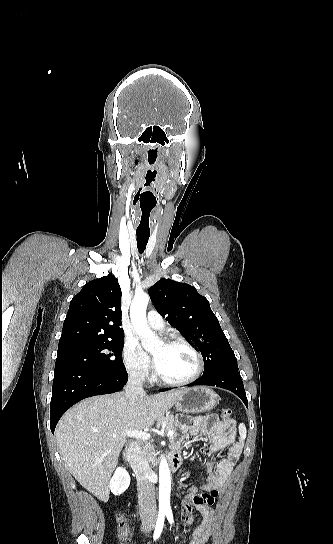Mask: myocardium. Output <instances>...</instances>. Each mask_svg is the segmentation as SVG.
Masks as SVG:
<instances>
[{"mask_svg": "<svg viewBox=\"0 0 333 544\" xmlns=\"http://www.w3.org/2000/svg\"><path fill=\"white\" fill-rule=\"evenodd\" d=\"M165 344L169 345V346H175V345H180V346H183L185 348H187L189 351H191L195 358H196V362H197V366H196V370L194 371V373L186 378V379H183V380H168V379H165L163 378L159 372L157 371V368L156 366L154 365V373H153V377L154 379L162 384V385H165V386H170V387H179V386H185V385H189L193 382H195L197 379H199V377L202 375L203 371H204V367H205V362H204V358L202 356V354L191 344L189 343L187 340L185 339H182V338H173V339H170V340H167L165 342Z\"/></svg>", "mask_w": 333, "mask_h": 544, "instance_id": "f54148a6", "label": "myocardium"}]
</instances>
